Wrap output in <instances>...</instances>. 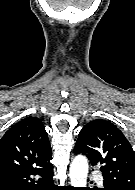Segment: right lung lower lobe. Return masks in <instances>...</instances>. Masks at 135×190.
Wrapping results in <instances>:
<instances>
[{"label":"right lung lower lobe","instance_id":"obj_1","mask_svg":"<svg viewBox=\"0 0 135 190\" xmlns=\"http://www.w3.org/2000/svg\"><path fill=\"white\" fill-rule=\"evenodd\" d=\"M53 166L15 169L0 173V190H58L53 185Z\"/></svg>","mask_w":135,"mask_h":190}]
</instances>
